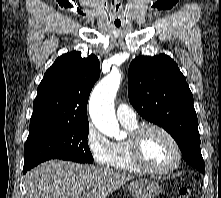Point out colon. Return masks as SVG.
<instances>
[{"instance_id": "1", "label": "colon", "mask_w": 221, "mask_h": 198, "mask_svg": "<svg viewBox=\"0 0 221 198\" xmlns=\"http://www.w3.org/2000/svg\"><path fill=\"white\" fill-rule=\"evenodd\" d=\"M189 197H190V191L187 188H182L179 190L177 198H189Z\"/></svg>"}]
</instances>
